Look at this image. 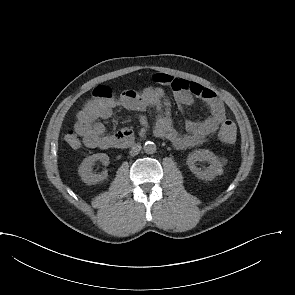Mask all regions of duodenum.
Masks as SVG:
<instances>
[{"label":"duodenum","mask_w":295,"mask_h":295,"mask_svg":"<svg viewBox=\"0 0 295 295\" xmlns=\"http://www.w3.org/2000/svg\"><path fill=\"white\" fill-rule=\"evenodd\" d=\"M135 143H136L135 139L133 138L132 135H124L115 141V147L117 148L129 147V146H133Z\"/></svg>","instance_id":"1"}]
</instances>
